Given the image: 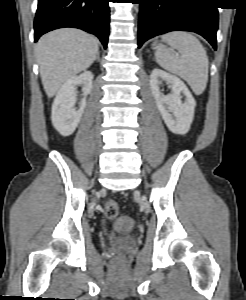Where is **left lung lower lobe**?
Returning a JSON list of instances; mask_svg holds the SVG:
<instances>
[{"label":"left lung lower lobe","mask_w":246,"mask_h":300,"mask_svg":"<svg viewBox=\"0 0 246 300\" xmlns=\"http://www.w3.org/2000/svg\"><path fill=\"white\" fill-rule=\"evenodd\" d=\"M140 4L138 48L170 31L202 35L217 49L218 10L214 0H136Z\"/></svg>","instance_id":"0a47b994"}]
</instances>
